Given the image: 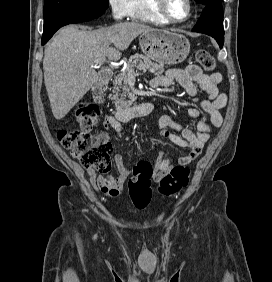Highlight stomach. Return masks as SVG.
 Returning <instances> with one entry per match:
<instances>
[{"mask_svg":"<svg viewBox=\"0 0 272 282\" xmlns=\"http://www.w3.org/2000/svg\"><path fill=\"white\" fill-rule=\"evenodd\" d=\"M143 53L160 64L183 62L190 52V42L182 34L173 30L151 29L140 35Z\"/></svg>","mask_w":272,"mask_h":282,"instance_id":"obj_1","label":"stomach"}]
</instances>
